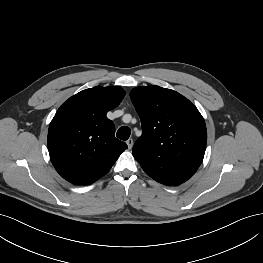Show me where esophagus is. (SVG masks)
Here are the masks:
<instances>
[{
  "instance_id": "1",
  "label": "esophagus",
  "mask_w": 263,
  "mask_h": 263,
  "mask_svg": "<svg viewBox=\"0 0 263 263\" xmlns=\"http://www.w3.org/2000/svg\"><path fill=\"white\" fill-rule=\"evenodd\" d=\"M126 144L128 146V149H131L132 146H133V139L129 138L127 141H126Z\"/></svg>"
}]
</instances>
